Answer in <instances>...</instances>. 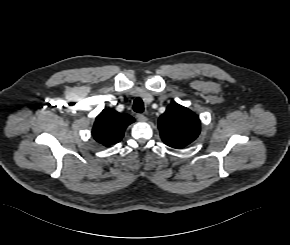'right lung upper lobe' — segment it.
I'll use <instances>...</instances> for the list:
<instances>
[{"label": "right lung upper lobe", "mask_w": 290, "mask_h": 245, "mask_svg": "<svg viewBox=\"0 0 290 245\" xmlns=\"http://www.w3.org/2000/svg\"><path fill=\"white\" fill-rule=\"evenodd\" d=\"M133 122L134 118L128 114L104 109L95 120L92 134L97 142L110 146L122 139L126 127Z\"/></svg>", "instance_id": "obj_1"}]
</instances>
